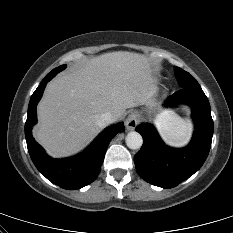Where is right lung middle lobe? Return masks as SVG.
I'll return each instance as SVG.
<instances>
[{
    "label": "right lung middle lobe",
    "instance_id": "right-lung-middle-lobe-1",
    "mask_svg": "<svg viewBox=\"0 0 233 233\" xmlns=\"http://www.w3.org/2000/svg\"><path fill=\"white\" fill-rule=\"evenodd\" d=\"M65 68V65H61L55 69H53L46 77H54L58 72L62 71Z\"/></svg>",
    "mask_w": 233,
    "mask_h": 233
}]
</instances>
